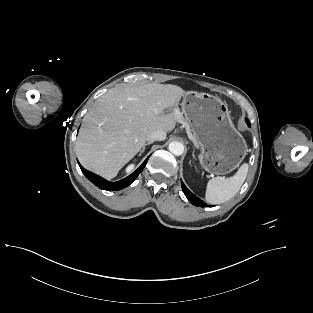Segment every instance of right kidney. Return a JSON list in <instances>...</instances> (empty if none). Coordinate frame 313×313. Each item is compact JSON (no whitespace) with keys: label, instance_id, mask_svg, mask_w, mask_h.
I'll list each match as a JSON object with an SVG mask.
<instances>
[{"label":"right kidney","instance_id":"right-kidney-1","mask_svg":"<svg viewBox=\"0 0 313 313\" xmlns=\"http://www.w3.org/2000/svg\"><path fill=\"white\" fill-rule=\"evenodd\" d=\"M134 167V164H131L129 165L127 168H126V171L129 172L130 170H132Z\"/></svg>","mask_w":313,"mask_h":313}]
</instances>
